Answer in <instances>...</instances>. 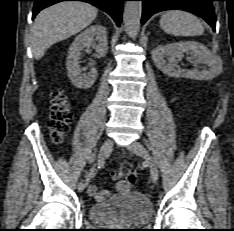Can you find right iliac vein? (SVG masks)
<instances>
[{"mask_svg":"<svg viewBox=\"0 0 234 231\" xmlns=\"http://www.w3.org/2000/svg\"><path fill=\"white\" fill-rule=\"evenodd\" d=\"M113 148V141L111 139H107L104 141V143L102 144L100 151H99V158L100 159H105L106 157L109 156V154L111 153ZM78 191L82 192L85 188V184L80 182L78 184Z\"/></svg>","mask_w":234,"mask_h":231,"instance_id":"obj_1","label":"right iliac vein"}]
</instances>
